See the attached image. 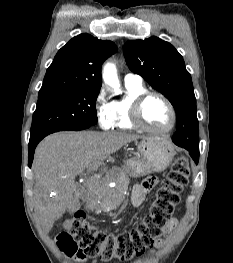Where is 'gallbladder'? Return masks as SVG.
Segmentation results:
<instances>
[{"label":"gallbladder","instance_id":"gallbladder-1","mask_svg":"<svg viewBox=\"0 0 233 263\" xmlns=\"http://www.w3.org/2000/svg\"><path fill=\"white\" fill-rule=\"evenodd\" d=\"M81 191L80 187L77 185L76 186V192L78 193V197L75 198L72 202V204L69 206V208L67 209V211L69 213H73L77 210H79L80 206H81V203L79 201V192Z\"/></svg>","mask_w":233,"mask_h":263}]
</instances>
